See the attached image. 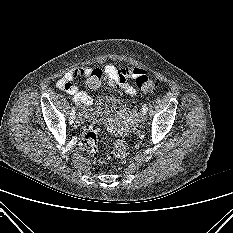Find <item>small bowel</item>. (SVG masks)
I'll use <instances>...</instances> for the list:
<instances>
[{
    "instance_id": "1",
    "label": "small bowel",
    "mask_w": 233,
    "mask_h": 233,
    "mask_svg": "<svg viewBox=\"0 0 233 233\" xmlns=\"http://www.w3.org/2000/svg\"><path fill=\"white\" fill-rule=\"evenodd\" d=\"M92 71L91 67H75L58 81V87L70 94L75 102L82 107V114L85 113V108L92 104V98L86 92L80 91L73 81L78 77L87 78ZM102 71L107 76L108 87H120L132 96L136 94V90L128 84V80L145 74V71L138 67L117 68L113 64H107Z\"/></svg>"
}]
</instances>
